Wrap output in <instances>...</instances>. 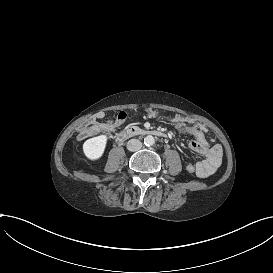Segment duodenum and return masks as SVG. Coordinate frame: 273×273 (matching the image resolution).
<instances>
[{
  "label": "duodenum",
  "instance_id": "1",
  "mask_svg": "<svg viewBox=\"0 0 273 273\" xmlns=\"http://www.w3.org/2000/svg\"><path fill=\"white\" fill-rule=\"evenodd\" d=\"M144 135H152V136H157V137H165V133L156 130V129H144V128H139L136 126L128 127L124 130H122L118 135H117V141L118 142H124L125 140L135 137V136H144Z\"/></svg>",
  "mask_w": 273,
  "mask_h": 273
}]
</instances>
